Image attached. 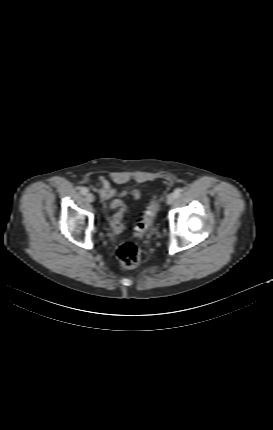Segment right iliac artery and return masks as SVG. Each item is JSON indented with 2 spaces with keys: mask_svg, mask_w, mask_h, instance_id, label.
<instances>
[{
  "mask_svg": "<svg viewBox=\"0 0 273 430\" xmlns=\"http://www.w3.org/2000/svg\"><path fill=\"white\" fill-rule=\"evenodd\" d=\"M80 191H81V194L83 195L88 193V189L86 187H82Z\"/></svg>",
  "mask_w": 273,
  "mask_h": 430,
  "instance_id": "obj_1",
  "label": "right iliac artery"
}]
</instances>
